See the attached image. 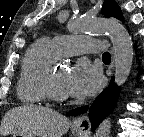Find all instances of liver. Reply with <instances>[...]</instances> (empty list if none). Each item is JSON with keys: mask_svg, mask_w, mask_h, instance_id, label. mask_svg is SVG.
<instances>
[{"mask_svg": "<svg viewBox=\"0 0 144 137\" xmlns=\"http://www.w3.org/2000/svg\"><path fill=\"white\" fill-rule=\"evenodd\" d=\"M71 125L70 120L48 107L23 105L9 110L2 119L0 133L28 134L37 137H62Z\"/></svg>", "mask_w": 144, "mask_h": 137, "instance_id": "6515ba94", "label": "liver"}]
</instances>
